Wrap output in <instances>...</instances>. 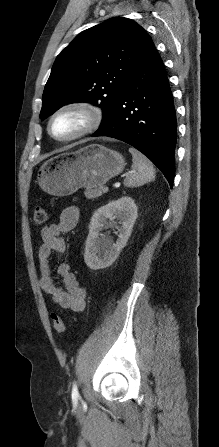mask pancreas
<instances>
[{"mask_svg":"<svg viewBox=\"0 0 219 447\" xmlns=\"http://www.w3.org/2000/svg\"><path fill=\"white\" fill-rule=\"evenodd\" d=\"M84 194L87 199H95L102 195V189L100 187L94 189L87 188Z\"/></svg>","mask_w":219,"mask_h":447,"instance_id":"1","label":"pancreas"}]
</instances>
